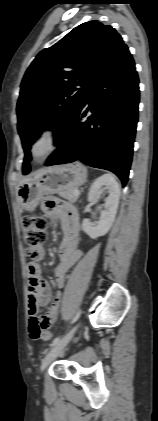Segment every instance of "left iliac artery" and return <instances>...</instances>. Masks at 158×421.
Returning <instances> with one entry per match:
<instances>
[{"mask_svg":"<svg viewBox=\"0 0 158 421\" xmlns=\"http://www.w3.org/2000/svg\"><path fill=\"white\" fill-rule=\"evenodd\" d=\"M81 314V310H78V312L76 313L75 317L73 318L71 323H74L75 321H77V319L80 317ZM60 340V337H56L52 343H51V347L54 346L58 341Z\"/></svg>","mask_w":158,"mask_h":421,"instance_id":"44dca946","label":"left iliac artery"}]
</instances>
